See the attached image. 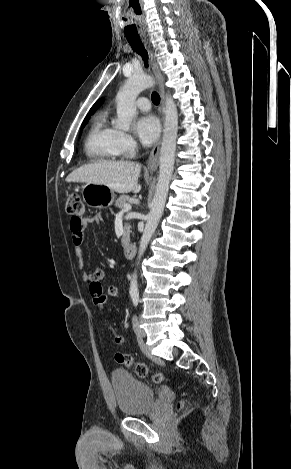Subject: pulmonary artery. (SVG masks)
Wrapping results in <instances>:
<instances>
[{
    "label": "pulmonary artery",
    "mask_w": 291,
    "mask_h": 469,
    "mask_svg": "<svg viewBox=\"0 0 291 469\" xmlns=\"http://www.w3.org/2000/svg\"><path fill=\"white\" fill-rule=\"evenodd\" d=\"M136 106L142 111H148L150 109V102L145 97H140L136 101Z\"/></svg>",
    "instance_id": "e3ab8cb5"
}]
</instances>
